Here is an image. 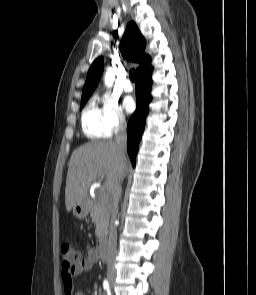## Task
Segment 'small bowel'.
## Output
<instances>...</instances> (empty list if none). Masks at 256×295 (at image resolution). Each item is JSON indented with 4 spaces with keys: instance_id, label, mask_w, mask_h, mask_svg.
I'll return each mask as SVG.
<instances>
[{
    "instance_id": "small-bowel-1",
    "label": "small bowel",
    "mask_w": 256,
    "mask_h": 295,
    "mask_svg": "<svg viewBox=\"0 0 256 295\" xmlns=\"http://www.w3.org/2000/svg\"><path fill=\"white\" fill-rule=\"evenodd\" d=\"M97 260V251L94 248H88L85 252V256L80 259L79 263L72 270H65L62 272L61 278L65 295H83V293L75 291L74 277L82 274L83 272L91 270ZM97 295L103 294L98 291Z\"/></svg>"
}]
</instances>
